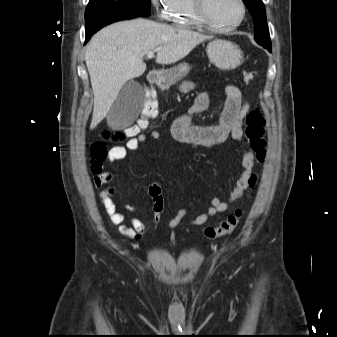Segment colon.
I'll use <instances>...</instances> for the list:
<instances>
[{"instance_id":"colon-1","label":"colon","mask_w":337,"mask_h":337,"mask_svg":"<svg viewBox=\"0 0 337 337\" xmlns=\"http://www.w3.org/2000/svg\"><path fill=\"white\" fill-rule=\"evenodd\" d=\"M244 79L248 84H251L256 79V73L252 70H246L243 73ZM141 106L144 107L140 118L135 124H132L125 129L105 132L103 138L106 140L119 141L126 138H133L140 134V132L146 129L149 125L150 119L156 118V91H143ZM246 129L245 134L248 139L251 150L255 153L258 162H263L266 158L267 143L265 140V118L260 108L254 107L249 110L246 115ZM91 154V168L94 172H99L102 167V161L107 156V148L101 140H97L92 143L90 148ZM256 176L252 175L249 180V186L252 188L256 184ZM243 210L237 209L226 220L221 222L218 226L207 227L204 229L203 234L205 238L214 240L220 237L230 235L239 225L242 217Z\"/></svg>"}]
</instances>
